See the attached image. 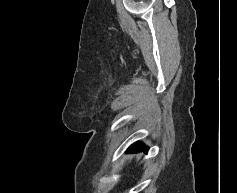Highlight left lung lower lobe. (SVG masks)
<instances>
[{
	"label": "left lung lower lobe",
	"mask_w": 237,
	"mask_h": 193,
	"mask_svg": "<svg viewBox=\"0 0 237 193\" xmlns=\"http://www.w3.org/2000/svg\"><path fill=\"white\" fill-rule=\"evenodd\" d=\"M141 150L147 152L148 148L144 144L137 142L129 147L128 152H138Z\"/></svg>",
	"instance_id": "obj_1"
}]
</instances>
